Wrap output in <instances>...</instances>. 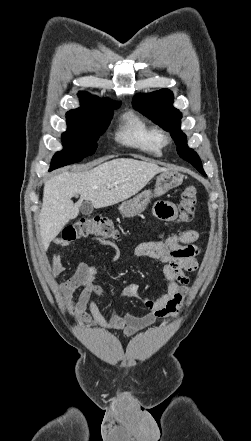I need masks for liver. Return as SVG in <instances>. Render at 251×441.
Here are the masks:
<instances>
[{
	"instance_id": "6515ba94",
	"label": "liver",
	"mask_w": 251,
	"mask_h": 441,
	"mask_svg": "<svg viewBox=\"0 0 251 441\" xmlns=\"http://www.w3.org/2000/svg\"><path fill=\"white\" fill-rule=\"evenodd\" d=\"M167 168L132 158H117L84 172H63L44 185L39 215L44 250L70 220L79 215L83 200L99 209L117 204L138 193L158 173ZM80 200L73 203V196Z\"/></svg>"
}]
</instances>
